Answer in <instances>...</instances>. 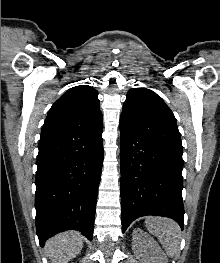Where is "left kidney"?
<instances>
[{"instance_id": "5707ae66", "label": "left kidney", "mask_w": 220, "mask_h": 263, "mask_svg": "<svg viewBox=\"0 0 220 263\" xmlns=\"http://www.w3.org/2000/svg\"><path fill=\"white\" fill-rule=\"evenodd\" d=\"M132 249L141 263H167L165 253L157 242L140 228L132 233Z\"/></svg>"}]
</instances>
